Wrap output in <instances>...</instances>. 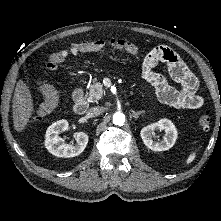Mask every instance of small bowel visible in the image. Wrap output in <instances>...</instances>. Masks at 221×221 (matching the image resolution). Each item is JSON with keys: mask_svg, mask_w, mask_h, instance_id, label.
<instances>
[{"mask_svg": "<svg viewBox=\"0 0 221 221\" xmlns=\"http://www.w3.org/2000/svg\"><path fill=\"white\" fill-rule=\"evenodd\" d=\"M161 62L167 65L171 77L180 85L179 89L169 85L164 76L154 71ZM142 76L154 87L157 98L163 104L190 110L199 109L203 105V99L197 94V78L168 46H156L145 56Z\"/></svg>", "mask_w": 221, "mask_h": 221, "instance_id": "1", "label": "small bowel"}]
</instances>
